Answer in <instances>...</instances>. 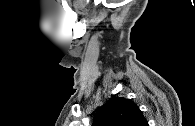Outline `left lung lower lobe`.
Wrapping results in <instances>:
<instances>
[{
	"label": "left lung lower lobe",
	"mask_w": 195,
	"mask_h": 126,
	"mask_svg": "<svg viewBox=\"0 0 195 126\" xmlns=\"http://www.w3.org/2000/svg\"><path fill=\"white\" fill-rule=\"evenodd\" d=\"M143 126H149L148 123L146 122Z\"/></svg>",
	"instance_id": "1"
}]
</instances>
